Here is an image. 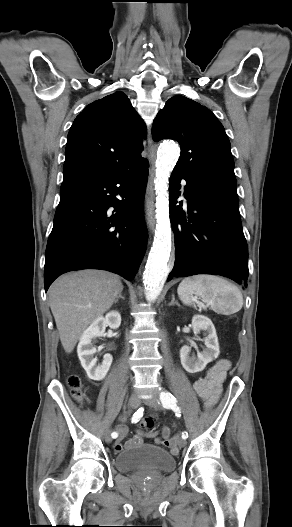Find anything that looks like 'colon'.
<instances>
[{
  "instance_id": "1",
  "label": "colon",
  "mask_w": 292,
  "mask_h": 527,
  "mask_svg": "<svg viewBox=\"0 0 292 527\" xmlns=\"http://www.w3.org/2000/svg\"><path fill=\"white\" fill-rule=\"evenodd\" d=\"M67 384L73 398L79 402H82L85 398V391L81 379L77 375H71L67 380ZM153 426L154 418L151 416L144 417L139 422V427L142 430H150L153 428Z\"/></svg>"
}]
</instances>
